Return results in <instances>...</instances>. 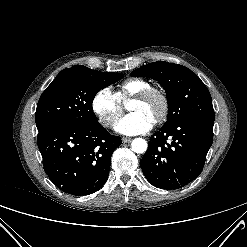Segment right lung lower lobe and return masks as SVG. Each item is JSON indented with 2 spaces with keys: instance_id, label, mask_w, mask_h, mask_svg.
<instances>
[{
  "instance_id": "obj_1",
  "label": "right lung lower lobe",
  "mask_w": 247,
  "mask_h": 247,
  "mask_svg": "<svg viewBox=\"0 0 247 247\" xmlns=\"http://www.w3.org/2000/svg\"><path fill=\"white\" fill-rule=\"evenodd\" d=\"M38 131L44 170L60 190L81 196L105 184L111 155L122 144L120 137L110 135L98 122L60 123Z\"/></svg>"
}]
</instances>
